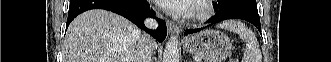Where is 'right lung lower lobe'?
Returning <instances> with one entry per match:
<instances>
[{"label":"right lung lower lobe","instance_id":"98d812e1","mask_svg":"<svg viewBox=\"0 0 331 62\" xmlns=\"http://www.w3.org/2000/svg\"><path fill=\"white\" fill-rule=\"evenodd\" d=\"M91 9H104L117 13L144 29L159 42H163L166 37L167 28L163 20L157 19L159 27L156 30H150L145 27L144 19L155 17L146 0H70L66 26L68 27L77 15Z\"/></svg>","mask_w":331,"mask_h":62}]
</instances>
